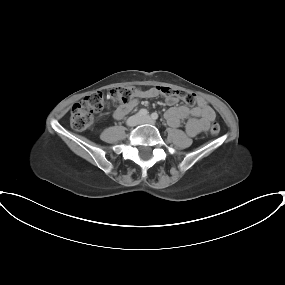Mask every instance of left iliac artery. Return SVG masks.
<instances>
[{"instance_id": "1", "label": "left iliac artery", "mask_w": 285, "mask_h": 285, "mask_svg": "<svg viewBox=\"0 0 285 285\" xmlns=\"http://www.w3.org/2000/svg\"><path fill=\"white\" fill-rule=\"evenodd\" d=\"M152 119L157 120L158 119V114L156 112L151 114Z\"/></svg>"}]
</instances>
